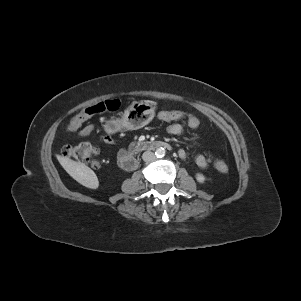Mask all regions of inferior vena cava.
<instances>
[{
  "instance_id": "inferior-vena-cava-1",
  "label": "inferior vena cava",
  "mask_w": 301,
  "mask_h": 301,
  "mask_svg": "<svg viewBox=\"0 0 301 301\" xmlns=\"http://www.w3.org/2000/svg\"><path fill=\"white\" fill-rule=\"evenodd\" d=\"M142 159L145 162H152L155 159V154L151 151H146V152L143 153Z\"/></svg>"
}]
</instances>
